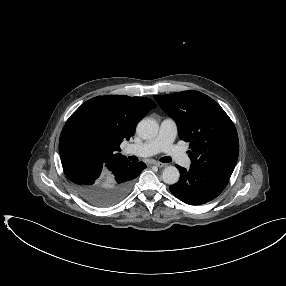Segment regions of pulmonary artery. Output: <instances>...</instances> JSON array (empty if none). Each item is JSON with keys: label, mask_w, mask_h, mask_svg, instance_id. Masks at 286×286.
<instances>
[{"label": "pulmonary artery", "mask_w": 286, "mask_h": 286, "mask_svg": "<svg viewBox=\"0 0 286 286\" xmlns=\"http://www.w3.org/2000/svg\"><path fill=\"white\" fill-rule=\"evenodd\" d=\"M177 136V124L172 118H165L161 121L157 135L139 144L128 147L127 152L139 157L153 156L159 152L166 153L177 164L188 167L190 159L179 147L174 145Z\"/></svg>", "instance_id": "pulmonary-artery-1"}]
</instances>
